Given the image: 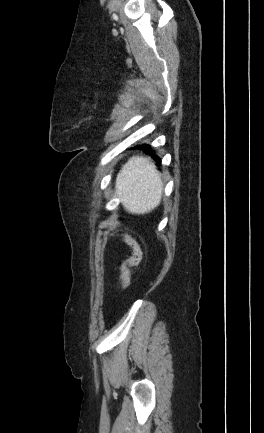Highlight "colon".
Listing matches in <instances>:
<instances>
[{
    "mask_svg": "<svg viewBox=\"0 0 264 433\" xmlns=\"http://www.w3.org/2000/svg\"><path fill=\"white\" fill-rule=\"evenodd\" d=\"M121 238L127 243L131 249V254L124 258L121 262V289L125 291L131 283L132 268L139 265L142 259V251L138 242L129 234L122 233Z\"/></svg>",
    "mask_w": 264,
    "mask_h": 433,
    "instance_id": "obj_1",
    "label": "colon"
}]
</instances>
